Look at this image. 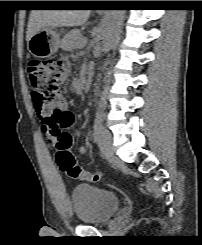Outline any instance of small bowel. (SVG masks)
Here are the masks:
<instances>
[{"mask_svg":"<svg viewBox=\"0 0 202 245\" xmlns=\"http://www.w3.org/2000/svg\"><path fill=\"white\" fill-rule=\"evenodd\" d=\"M60 60L65 64V66L68 69L70 68V59L67 56L62 57ZM50 109H51V111L68 112V107H67V103H66L65 98L64 97H59L57 100H55L51 104ZM41 110H43V108ZM44 117L46 118V115ZM43 131L45 133L47 132L45 125H43ZM80 151H81V153H84L85 149L82 147Z\"/></svg>","mask_w":202,"mask_h":245,"instance_id":"1","label":"small bowel"}]
</instances>
